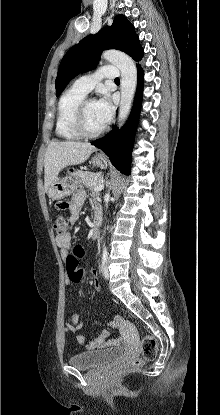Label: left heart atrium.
Returning a JSON list of instances; mask_svg holds the SVG:
<instances>
[{"mask_svg": "<svg viewBox=\"0 0 220 415\" xmlns=\"http://www.w3.org/2000/svg\"><path fill=\"white\" fill-rule=\"evenodd\" d=\"M95 110L99 120L103 125L111 120L113 115V106L107 93L104 92L102 96L95 102Z\"/></svg>", "mask_w": 220, "mask_h": 415, "instance_id": "39dd6f15", "label": "left heart atrium"}]
</instances>
